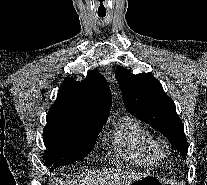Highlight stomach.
<instances>
[{"mask_svg":"<svg viewBox=\"0 0 207 185\" xmlns=\"http://www.w3.org/2000/svg\"><path fill=\"white\" fill-rule=\"evenodd\" d=\"M131 185H174L171 182L162 180L157 176L147 175L134 182Z\"/></svg>","mask_w":207,"mask_h":185,"instance_id":"0dacf381","label":"stomach"}]
</instances>
